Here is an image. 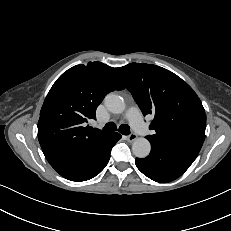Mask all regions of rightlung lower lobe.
<instances>
[{
  "label": "right lung lower lobe",
  "mask_w": 231,
  "mask_h": 231,
  "mask_svg": "<svg viewBox=\"0 0 231 231\" xmlns=\"http://www.w3.org/2000/svg\"><path fill=\"white\" fill-rule=\"evenodd\" d=\"M120 138V134L111 133L87 155L55 168V170L71 181L89 180L106 167L110 159L111 149Z\"/></svg>",
  "instance_id": "1"
}]
</instances>
